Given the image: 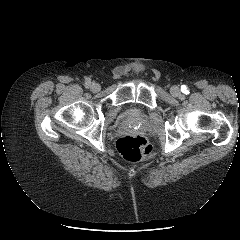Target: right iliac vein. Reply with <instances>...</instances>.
Wrapping results in <instances>:
<instances>
[{"instance_id": "63e3f726", "label": "right iliac vein", "mask_w": 240, "mask_h": 240, "mask_svg": "<svg viewBox=\"0 0 240 240\" xmlns=\"http://www.w3.org/2000/svg\"><path fill=\"white\" fill-rule=\"evenodd\" d=\"M90 89L92 92H98V91H100L101 86H100V84L93 82L90 84Z\"/></svg>"}]
</instances>
